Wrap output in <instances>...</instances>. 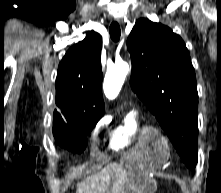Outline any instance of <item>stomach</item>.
Masks as SVG:
<instances>
[{
	"label": "stomach",
	"instance_id": "obj_1",
	"mask_svg": "<svg viewBox=\"0 0 221 193\" xmlns=\"http://www.w3.org/2000/svg\"><path fill=\"white\" fill-rule=\"evenodd\" d=\"M143 137L141 133H135L138 142H132L129 154H123L121 163L128 169L131 177L122 193H152L154 182V167H167L169 150H165L166 142L158 137L155 129L150 125L143 126Z\"/></svg>",
	"mask_w": 221,
	"mask_h": 193
}]
</instances>
